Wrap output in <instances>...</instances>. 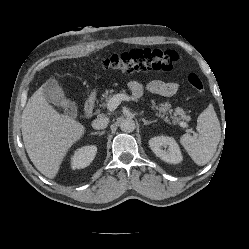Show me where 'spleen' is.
Listing matches in <instances>:
<instances>
[{
  "instance_id": "3e777b00",
  "label": "spleen",
  "mask_w": 249,
  "mask_h": 249,
  "mask_svg": "<svg viewBox=\"0 0 249 249\" xmlns=\"http://www.w3.org/2000/svg\"><path fill=\"white\" fill-rule=\"evenodd\" d=\"M196 129L197 135L186 133L180 137V143L196 164L205 165L214 156L221 138L220 123L212 104L198 116Z\"/></svg>"
}]
</instances>
